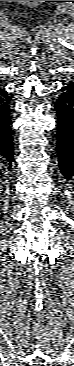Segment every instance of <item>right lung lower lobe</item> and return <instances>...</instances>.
<instances>
[{
    "mask_svg": "<svg viewBox=\"0 0 74 366\" xmlns=\"http://www.w3.org/2000/svg\"><path fill=\"white\" fill-rule=\"evenodd\" d=\"M10 99L0 87V161H6L11 167L13 161V132L10 120Z\"/></svg>",
    "mask_w": 74,
    "mask_h": 366,
    "instance_id": "obj_1",
    "label": "right lung lower lobe"
}]
</instances>
